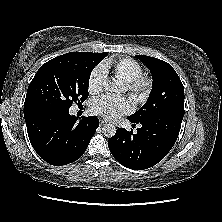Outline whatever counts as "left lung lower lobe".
Returning <instances> with one entry per match:
<instances>
[{
	"label": "left lung lower lobe",
	"mask_w": 222,
	"mask_h": 222,
	"mask_svg": "<svg viewBox=\"0 0 222 222\" xmlns=\"http://www.w3.org/2000/svg\"><path fill=\"white\" fill-rule=\"evenodd\" d=\"M182 114L166 112L142 121L137 133L118 128L108 140L113 157L123 166L134 170L150 168L160 162L175 144L183 119Z\"/></svg>",
	"instance_id": "left-lung-lower-lobe-1"
}]
</instances>
